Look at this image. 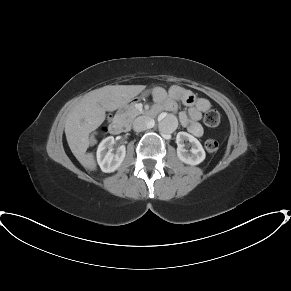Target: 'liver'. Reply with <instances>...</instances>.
<instances>
[{
  "label": "liver",
  "mask_w": 291,
  "mask_h": 291,
  "mask_svg": "<svg viewBox=\"0 0 291 291\" xmlns=\"http://www.w3.org/2000/svg\"><path fill=\"white\" fill-rule=\"evenodd\" d=\"M145 89L143 85L104 86L86 94L68 113L65 134L70 150L80 164L91 171L97 169L89 147V135L105 120L106 111H114Z\"/></svg>",
  "instance_id": "6515ba94"
}]
</instances>
